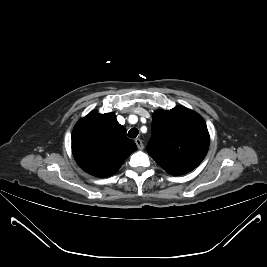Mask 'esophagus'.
<instances>
[{
	"label": "esophagus",
	"instance_id": "esophagus-1",
	"mask_svg": "<svg viewBox=\"0 0 267 267\" xmlns=\"http://www.w3.org/2000/svg\"><path fill=\"white\" fill-rule=\"evenodd\" d=\"M135 143H136V145H137V147H138L139 150H142L144 148V145L142 143V140L135 139Z\"/></svg>",
	"mask_w": 267,
	"mask_h": 267
}]
</instances>
